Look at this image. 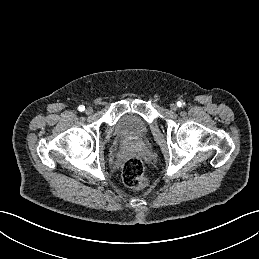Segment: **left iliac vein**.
<instances>
[{
  "label": "left iliac vein",
  "instance_id": "4c4485c4",
  "mask_svg": "<svg viewBox=\"0 0 259 259\" xmlns=\"http://www.w3.org/2000/svg\"><path fill=\"white\" fill-rule=\"evenodd\" d=\"M170 109L172 111H176L177 110V105L175 103L170 104Z\"/></svg>",
  "mask_w": 259,
  "mask_h": 259
}]
</instances>
